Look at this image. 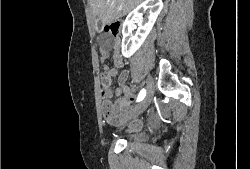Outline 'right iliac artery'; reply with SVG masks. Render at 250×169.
Here are the masks:
<instances>
[{"mask_svg": "<svg viewBox=\"0 0 250 169\" xmlns=\"http://www.w3.org/2000/svg\"><path fill=\"white\" fill-rule=\"evenodd\" d=\"M146 96V90L145 89H142L138 95V98H137V102H140L144 99V97Z\"/></svg>", "mask_w": 250, "mask_h": 169, "instance_id": "right-iliac-artery-1", "label": "right iliac artery"}]
</instances>
